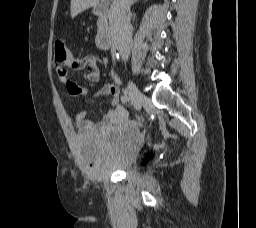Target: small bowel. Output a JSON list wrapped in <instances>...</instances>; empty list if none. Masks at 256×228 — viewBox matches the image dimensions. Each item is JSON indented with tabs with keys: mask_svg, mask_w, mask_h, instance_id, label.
<instances>
[{
	"mask_svg": "<svg viewBox=\"0 0 256 228\" xmlns=\"http://www.w3.org/2000/svg\"><path fill=\"white\" fill-rule=\"evenodd\" d=\"M71 68L85 70V79L88 82H98L101 77V70L97 64V58L94 55L77 56L70 55L69 60L63 64L55 63V69L58 74V81L62 83L67 92L72 96H88V90L77 83L68 73ZM97 96H112V108L106 113L103 119L99 122H94L86 119L88 111H82L76 116V124L79 130L83 133H107L114 126L126 123L128 114L119 102L120 89L116 84L107 83L98 91Z\"/></svg>",
	"mask_w": 256,
	"mask_h": 228,
	"instance_id": "c3829d8e",
	"label": "small bowel"
}]
</instances>
